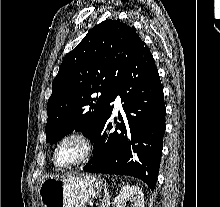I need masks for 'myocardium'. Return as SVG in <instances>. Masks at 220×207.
I'll return each mask as SVG.
<instances>
[{
  "label": "myocardium",
  "instance_id": "f54148a6",
  "mask_svg": "<svg viewBox=\"0 0 220 207\" xmlns=\"http://www.w3.org/2000/svg\"><path fill=\"white\" fill-rule=\"evenodd\" d=\"M69 141H75L80 144L81 146V153L80 155L72 162L66 164H59L57 162V153L60 147ZM94 150V143L92 139L82 131H69L62 135L59 140L56 142L53 152H52V162L54 166L58 169H68L75 166H78L84 163L86 160L90 158Z\"/></svg>",
  "mask_w": 220,
  "mask_h": 207
}]
</instances>
